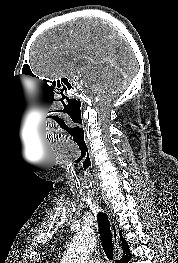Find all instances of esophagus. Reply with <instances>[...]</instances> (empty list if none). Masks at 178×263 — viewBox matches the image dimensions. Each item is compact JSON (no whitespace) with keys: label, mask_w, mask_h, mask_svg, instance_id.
Returning <instances> with one entry per match:
<instances>
[{"label":"esophagus","mask_w":178,"mask_h":263,"mask_svg":"<svg viewBox=\"0 0 178 263\" xmlns=\"http://www.w3.org/2000/svg\"><path fill=\"white\" fill-rule=\"evenodd\" d=\"M111 232H112L114 246L117 247L119 242V233L117 227L113 224V222H111Z\"/></svg>","instance_id":"obj_1"}]
</instances>
